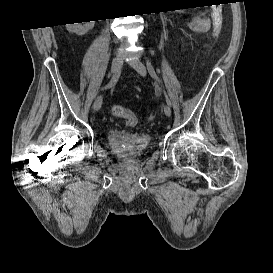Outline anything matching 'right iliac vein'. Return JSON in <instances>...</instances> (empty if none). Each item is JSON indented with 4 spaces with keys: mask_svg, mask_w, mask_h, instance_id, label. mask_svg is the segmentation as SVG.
Returning <instances> with one entry per match:
<instances>
[{
    "mask_svg": "<svg viewBox=\"0 0 273 273\" xmlns=\"http://www.w3.org/2000/svg\"><path fill=\"white\" fill-rule=\"evenodd\" d=\"M123 54H119L112 62L111 65V72L113 74V76H115L121 69L122 65H123ZM102 101H103V97L102 95H100L96 101L94 102L93 105V109L94 111H98L101 108L102 105Z\"/></svg>",
    "mask_w": 273,
    "mask_h": 273,
    "instance_id": "1",
    "label": "right iliac vein"
}]
</instances>
